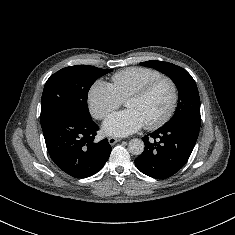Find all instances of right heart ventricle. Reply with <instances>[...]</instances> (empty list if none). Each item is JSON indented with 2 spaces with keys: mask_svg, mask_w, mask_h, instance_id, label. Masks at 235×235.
I'll use <instances>...</instances> for the list:
<instances>
[{
  "mask_svg": "<svg viewBox=\"0 0 235 235\" xmlns=\"http://www.w3.org/2000/svg\"><path fill=\"white\" fill-rule=\"evenodd\" d=\"M160 76L158 71L151 68L130 67L115 73L110 85L118 97L125 100L131 93Z\"/></svg>",
  "mask_w": 235,
  "mask_h": 235,
  "instance_id": "right-heart-ventricle-1",
  "label": "right heart ventricle"
}]
</instances>
